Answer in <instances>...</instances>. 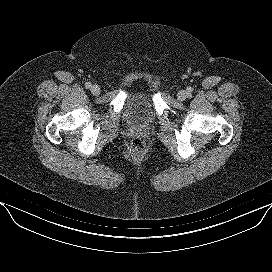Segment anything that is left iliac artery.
<instances>
[{"instance_id": "44dca946", "label": "left iliac artery", "mask_w": 272, "mask_h": 272, "mask_svg": "<svg viewBox=\"0 0 272 272\" xmlns=\"http://www.w3.org/2000/svg\"><path fill=\"white\" fill-rule=\"evenodd\" d=\"M187 90H188L189 93H191L193 91V88L192 87H188Z\"/></svg>"}]
</instances>
